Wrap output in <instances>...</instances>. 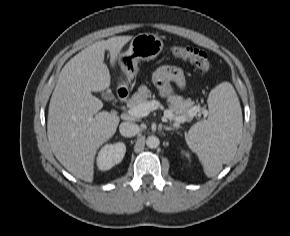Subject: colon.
Masks as SVG:
<instances>
[{
    "mask_svg": "<svg viewBox=\"0 0 290 236\" xmlns=\"http://www.w3.org/2000/svg\"><path fill=\"white\" fill-rule=\"evenodd\" d=\"M172 53L178 58L188 60L205 73L211 70L208 55L200 49L190 46H175L172 48Z\"/></svg>",
    "mask_w": 290,
    "mask_h": 236,
    "instance_id": "1",
    "label": "colon"
}]
</instances>
